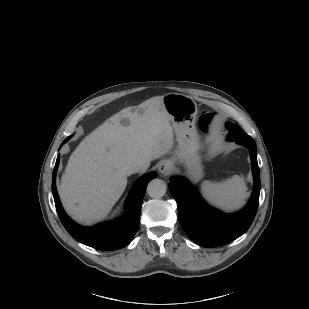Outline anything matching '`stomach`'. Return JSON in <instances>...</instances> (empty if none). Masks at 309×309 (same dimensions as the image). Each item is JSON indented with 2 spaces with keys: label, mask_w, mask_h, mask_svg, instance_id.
<instances>
[{
  "label": "stomach",
  "mask_w": 309,
  "mask_h": 309,
  "mask_svg": "<svg viewBox=\"0 0 309 309\" xmlns=\"http://www.w3.org/2000/svg\"><path fill=\"white\" fill-rule=\"evenodd\" d=\"M163 105L170 116L178 144L171 161L183 162L188 176L194 181L199 180L203 176V167L196 130L197 104L187 95L169 93L163 96Z\"/></svg>",
  "instance_id": "1"
}]
</instances>
